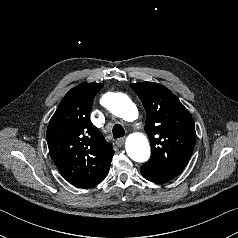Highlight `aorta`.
<instances>
[{"mask_svg": "<svg viewBox=\"0 0 238 238\" xmlns=\"http://www.w3.org/2000/svg\"><path fill=\"white\" fill-rule=\"evenodd\" d=\"M105 106L115 116L128 122L138 116L135 104L122 93H108L105 95ZM126 151L128 156L136 162H145L150 156V146L147 138L141 133H133L127 137Z\"/></svg>", "mask_w": 238, "mask_h": 238, "instance_id": "aorta-1", "label": "aorta"}]
</instances>
